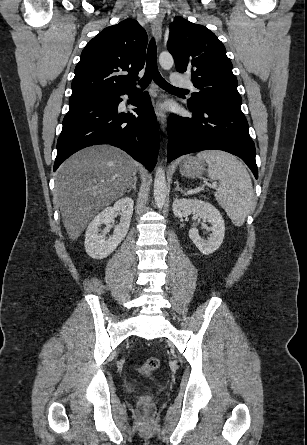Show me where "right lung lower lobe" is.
Returning a JSON list of instances; mask_svg holds the SVG:
<instances>
[{
  "label": "right lung lower lobe",
  "instance_id": "98d812e1",
  "mask_svg": "<svg viewBox=\"0 0 307 445\" xmlns=\"http://www.w3.org/2000/svg\"><path fill=\"white\" fill-rule=\"evenodd\" d=\"M127 94L133 113L118 114L121 95ZM69 112L57 142L54 171L70 155L96 144H111L153 170L159 150L156 116L147 92L138 94L136 87L108 92L69 102Z\"/></svg>",
  "mask_w": 307,
  "mask_h": 445
}]
</instances>
